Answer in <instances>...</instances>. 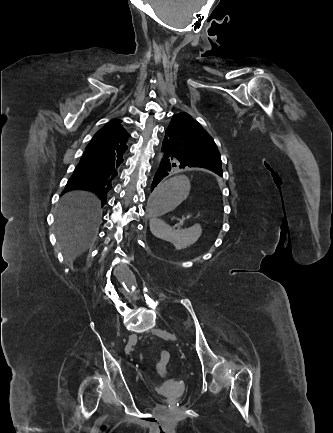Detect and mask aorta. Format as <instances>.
Listing matches in <instances>:
<instances>
[{
  "mask_svg": "<svg viewBox=\"0 0 333 433\" xmlns=\"http://www.w3.org/2000/svg\"><path fill=\"white\" fill-rule=\"evenodd\" d=\"M162 157H163V154H162V153H159V154H158V157H157V161H160V160L162 159Z\"/></svg>",
  "mask_w": 333,
  "mask_h": 433,
  "instance_id": "762f6f07",
  "label": "aorta"
}]
</instances>
